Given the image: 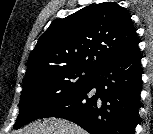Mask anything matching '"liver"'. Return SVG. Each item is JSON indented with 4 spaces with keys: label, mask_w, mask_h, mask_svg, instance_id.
Returning <instances> with one entry per match:
<instances>
[{
    "label": "liver",
    "mask_w": 153,
    "mask_h": 134,
    "mask_svg": "<svg viewBox=\"0 0 153 134\" xmlns=\"http://www.w3.org/2000/svg\"><path fill=\"white\" fill-rule=\"evenodd\" d=\"M18 134H87L78 125L67 120L48 118L19 130Z\"/></svg>",
    "instance_id": "obj_1"
}]
</instances>
